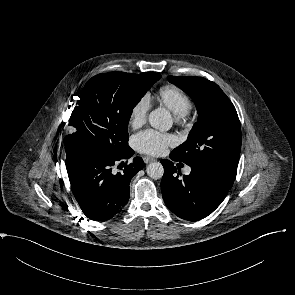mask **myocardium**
I'll return each mask as SVG.
<instances>
[{
  "label": "myocardium",
  "instance_id": "f54148a6",
  "mask_svg": "<svg viewBox=\"0 0 295 295\" xmlns=\"http://www.w3.org/2000/svg\"><path fill=\"white\" fill-rule=\"evenodd\" d=\"M188 113H189V112H188ZM188 113L185 114L184 116H176V115H175V120H176V122H181V121H183V120L188 116Z\"/></svg>",
  "mask_w": 295,
  "mask_h": 295
}]
</instances>
